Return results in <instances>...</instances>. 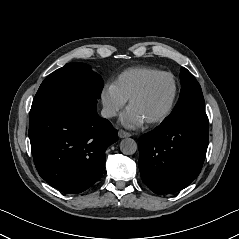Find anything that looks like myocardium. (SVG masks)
I'll return each instance as SVG.
<instances>
[{
    "instance_id": "1",
    "label": "myocardium",
    "mask_w": 239,
    "mask_h": 239,
    "mask_svg": "<svg viewBox=\"0 0 239 239\" xmlns=\"http://www.w3.org/2000/svg\"><path fill=\"white\" fill-rule=\"evenodd\" d=\"M160 77H168L171 80L172 86H173L172 95H171L168 105L160 114L146 120V123H148V124L161 122L165 118H167L169 116V114L171 113V111L174 107L176 97H177V92H178L177 82H176L175 78L173 77V75L168 72H164V71H160V72L152 75L128 99V105L130 107L131 104L134 101H136L138 98H140L147 91L149 86Z\"/></svg>"
}]
</instances>
